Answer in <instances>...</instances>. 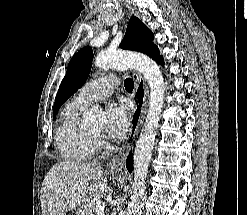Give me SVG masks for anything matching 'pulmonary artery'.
Wrapping results in <instances>:
<instances>
[{"label": "pulmonary artery", "instance_id": "pulmonary-artery-1", "mask_svg": "<svg viewBox=\"0 0 247 215\" xmlns=\"http://www.w3.org/2000/svg\"><path fill=\"white\" fill-rule=\"evenodd\" d=\"M118 84L119 79L116 76H104L94 79L78 92L75 101L87 107L93 102L111 95Z\"/></svg>", "mask_w": 247, "mask_h": 215}]
</instances>
